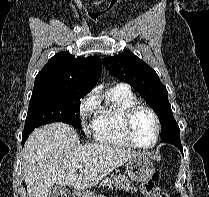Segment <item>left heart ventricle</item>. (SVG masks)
Returning a JSON list of instances; mask_svg holds the SVG:
<instances>
[{"label": "left heart ventricle", "instance_id": "left-heart-ventricle-1", "mask_svg": "<svg viewBox=\"0 0 209 197\" xmlns=\"http://www.w3.org/2000/svg\"><path fill=\"white\" fill-rule=\"evenodd\" d=\"M133 137L141 145H149L155 136V123L152 115L144 110H138L133 117Z\"/></svg>", "mask_w": 209, "mask_h": 197}]
</instances>
